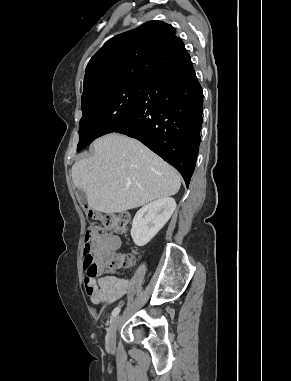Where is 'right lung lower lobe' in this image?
I'll list each match as a JSON object with an SVG mask.
<instances>
[{"instance_id":"1","label":"right lung lower lobe","mask_w":291,"mask_h":381,"mask_svg":"<svg viewBox=\"0 0 291 381\" xmlns=\"http://www.w3.org/2000/svg\"><path fill=\"white\" fill-rule=\"evenodd\" d=\"M203 92L185 50L145 82L133 115L111 132L125 134L174 166L189 186L199 151Z\"/></svg>"}]
</instances>
